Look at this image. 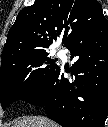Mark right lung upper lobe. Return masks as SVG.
Listing matches in <instances>:
<instances>
[{"label":"right lung upper lobe","mask_w":108,"mask_h":127,"mask_svg":"<svg viewBox=\"0 0 108 127\" xmlns=\"http://www.w3.org/2000/svg\"><path fill=\"white\" fill-rule=\"evenodd\" d=\"M104 18L97 0H35L23 8L9 30L1 65L46 52L61 33L66 47L77 35Z\"/></svg>","instance_id":"1"}]
</instances>
